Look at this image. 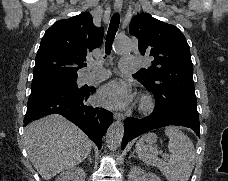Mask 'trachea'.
<instances>
[{
    "instance_id": "3493384b",
    "label": "trachea",
    "mask_w": 228,
    "mask_h": 181,
    "mask_svg": "<svg viewBox=\"0 0 228 181\" xmlns=\"http://www.w3.org/2000/svg\"><path fill=\"white\" fill-rule=\"evenodd\" d=\"M119 23H120L119 13H114V15L110 20V24L107 32L106 44H105V53H106L105 57L111 53L113 41L117 33V30L119 28ZM84 66H86V64Z\"/></svg>"
}]
</instances>
